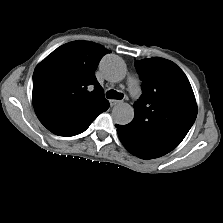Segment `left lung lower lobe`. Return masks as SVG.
I'll list each match as a JSON object with an SVG mask.
<instances>
[{"label": "left lung lower lobe", "mask_w": 223, "mask_h": 223, "mask_svg": "<svg viewBox=\"0 0 223 223\" xmlns=\"http://www.w3.org/2000/svg\"><path fill=\"white\" fill-rule=\"evenodd\" d=\"M115 126L117 127L118 136L122 144L131 154L142 159H153L167 154L162 150H158L145 144L135 142L132 139V133L127 129L126 125Z\"/></svg>", "instance_id": "1"}]
</instances>
